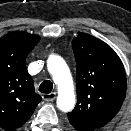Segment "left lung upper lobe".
I'll return each mask as SVG.
<instances>
[{
  "label": "left lung upper lobe",
  "instance_id": "5c2ea615",
  "mask_svg": "<svg viewBox=\"0 0 131 131\" xmlns=\"http://www.w3.org/2000/svg\"><path fill=\"white\" fill-rule=\"evenodd\" d=\"M73 50L78 100L67 115L76 130L93 131L108 123L122 106L126 74L114 50L89 34L78 32Z\"/></svg>",
  "mask_w": 131,
  "mask_h": 131
}]
</instances>
